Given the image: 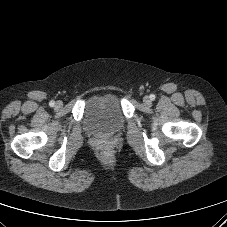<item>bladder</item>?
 Masks as SVG:
<instances>
[{
    "mask_svg": "<svg viewBox=\"0 0 227 227\" xmlns=\"http://www.w3.org/2000/svg\"><path fill=\"white\" fill-rule=\"evenodd\" d=\"M86 132L96 136H110L125 126V117L117 95L103 93L92 98L83 115Z\"/></svg>",
    "mask_w": 227,
    "mask_h": 227,
    "instance_id": "bladder-1",
    "label": "bladder"
}]
</instances>
